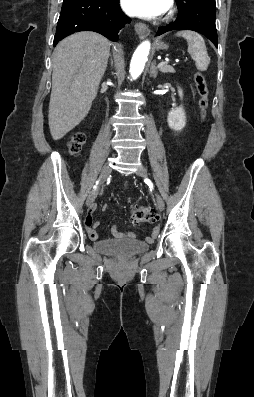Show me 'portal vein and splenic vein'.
I'll return each mask as SVG.
<instances>
[{
  "mask_svg": "<svg viewBox=\"0 0 254 397\" xmlns=\"http://www.w3.org/2000/svg\"><path fill=\"white\" fill-rule=\"evenodd\" d=\"M168 64V60H166V61H161L159 64H158V67L160 68V67H162V66H164V65H167Z\"/></svg>",
  "mask_w": 254,
  "mask_h": 397,
  "instance_id": "portal-vein-and-splenic-vein-1",
  "label": "portal vein and splenic vein"
}]
</instances>
